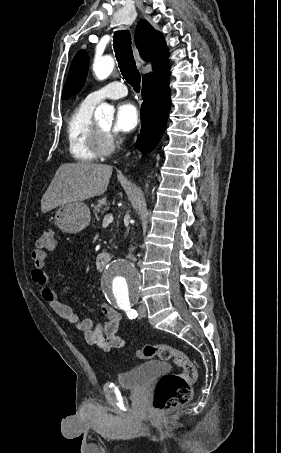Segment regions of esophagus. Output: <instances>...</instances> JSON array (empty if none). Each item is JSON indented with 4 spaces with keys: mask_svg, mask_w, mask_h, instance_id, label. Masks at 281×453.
Returning a JSON list of instances; mask_svg holds the SVG:
<instances>
[{
    "mask_svg": "<svg viewBox=\"0 0 281 453\" xmlns=\"http://www.w3.org/2000/svg\"><path fill=\"white\" fill-rule=\"evenodd\" d=\"M133 52H134V58H135V60H136L137 66H138V67H142L143 64H144V62H143V60L141 59V57H140V55H139V52H138V50H137L136 47H133Z\"/></svg>",
    "mask_w": 281,
    "mask_h": 453,
    "instance_id": "obj_1",
    "label": "esophagus"
}]
</instances>
